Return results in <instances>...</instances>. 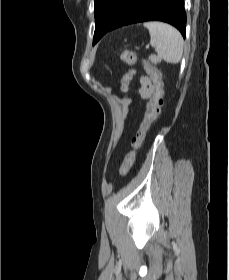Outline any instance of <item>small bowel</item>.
<instances>
[{
    "label": "small bowel",
    "mask_w": 229,
    "mask_h": 280,
    "mask_svg": "<svg viewBox=\"0 0 229 280\" xmlns=\"http://www.w3.org/2000/svg\"><path fill=\"white\" fill-rule=\"evenodd\" d=\"M151 65H149V64H145V69H146V71L147 72H149V67H150ZM130 81V79H123V84H124V86H126L127 84H128V82ZM139 93H140V95L143 97V98H145L144 97V93H143V90H142V87L140 88V90H139Z\"/></svg>",
    "instance_id": "c3829d8e"
}]
</instances>
